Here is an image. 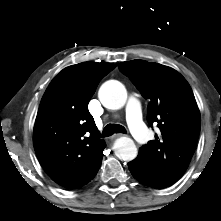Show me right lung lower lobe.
I'll use <instances>...</instances> for the list:
<instances>
[{
    "label": "right lung lower lobe",
    "mask_w": 221,
    "mask_h": 221,
    "mask_svg": "<svg viewBox=\"0 0 221 221\" xmlns=\"http://www.w3.org/2000/svg\"><path fill=\"white\" fill-rule=\"evenodd\" d=\"M98 169H99V168H98ZM98 169H97V171H98ZM97 171L94 173L93 177L96 175ZM93 177H92L91 179H93ZM91 179H90V180H91Z\"/></svg>",
    "instance_id": "obj_1"
}]
</instances>
